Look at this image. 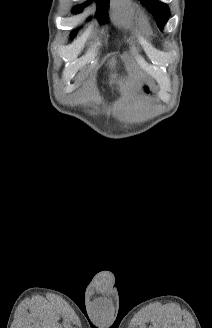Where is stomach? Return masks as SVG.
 <instances>
[{
	"label": "stomach",
	"instance_id": "1",
	"mask_svg": "<svg viewBox=\"0 0 212 328\" xmlns=\"http://www.w3.org/2000/svg\"><path fill=\"white\" fill-rule=\"evenodd\" d=\"M143 89H144L145 91H148V90H149L148 87H147L146 85H143Z\"/></svg>",
	"mask_w": 212,
	"mask_h": 328
}]
</instances>
